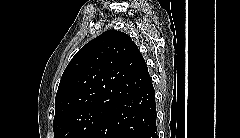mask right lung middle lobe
<instances>
[{
	"instance_id": "dd1d6c3e",
	"label": "right lung middle lobe",
	"mask_w": 240,
	"mask_h": 138,
	"mask_svg": "<svg viewBox=\"0 0 240 138\" xmlns=\"http://www.w3.org/2000/svg\"><path fill=\"white\" fill-rule=\"evenodd\" d=\"M107 110L99 108L73 112L53 121L55 138H87Z\"/></svg>"
}]
</instances>
